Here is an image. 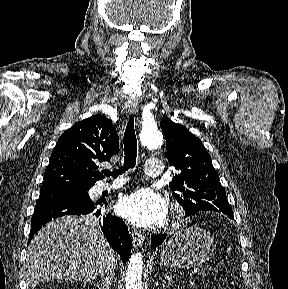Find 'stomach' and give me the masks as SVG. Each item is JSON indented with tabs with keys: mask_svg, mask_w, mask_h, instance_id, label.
<instances>
[{
	"mask_svg": "<svg viewBox=\"0 0 288 289\" xmlns=\"http://www.w3.org/2000/svg\"><path fill=\"white\" fill-rule=\"evenodd\" d=\"M211 234L200 227L184 228L173 234L161 254L165 266L191 268L208 261L214 252Z\"/></svg>",
	"mask_w": 288,
	"mask_h": 289,
	"instance_id": "0dacf381",
	"label": "stomach"
}]
</instances>
